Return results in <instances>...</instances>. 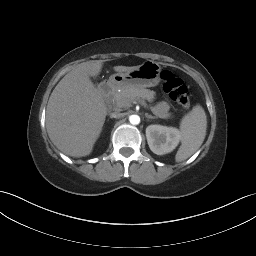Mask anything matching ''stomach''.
<instances>
[{
    "label": "stomach",
    "instance_id": "obj_1",
    "mask_svg": "<svg viewBox=\"0 0 256 256\" xmlns=\"http://www.w3.org/2000/svg\"><path fill=\"white\" fill-rule=\"evenodd\" d=\"M161 66L148 60L137 69L127 73H116L110 76L109 83L116 88L154 87L160 82Z\"/></svg>",
    "mask_w": 256,
    "mask_h": 256
}]
</instances>
